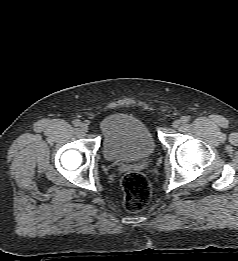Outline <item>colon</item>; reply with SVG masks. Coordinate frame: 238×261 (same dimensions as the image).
Masks as SVG:
<instances>
[{"mask_svg":"<svg viewBox=\"0 0 238 261\" xmlns=\"http://www.w3.org/2000/svg\"><path fill=\"white\" fill-rule=\"evenodd\" d=\"M124 208L129 212L142 210L149 202L151 191L148 180L138 171L127 172L122 179Z\"/></svg>","mask_w":238,"mask_h":261,"instance_id":"1","label":"colon"}]
</instances>
